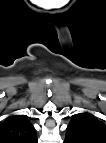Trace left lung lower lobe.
Masks as SVG:
<instances>
[{
	"mask_svg": "<svg viewBox=\"0 0 106 143\" xmlns=\"http://www.w3.org/2000/svg\"><path fill=\"white\" fill-rule=\"evenodd\" d=\"M65 143H75L67 134H66V137H65Z\"/></svg>",
	"mask_w": 106,
	"mask_h": 143,
	"instance_id": "1",
	"label": "left lung lower lobe"
}]
</instances>
